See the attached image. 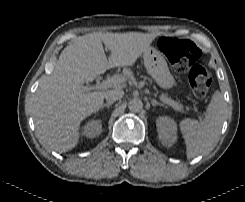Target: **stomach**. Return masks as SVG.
<instances>
[{"label":"stomach","mask_w":245,"mask_h":202,"mask_svg":"<svg viewBox=\"0 0 245 202\" xmlns=\"http://www.w3.org/2000/svg\"><path fill=\"white\" fill-rule=\"evenodd\" d=\"M144 65L148 74L162 89H170L175 85V80L169 71L163 54L153 46H150L144 53Z\"/></svg>","instance_id":"0dacf381"}]
</instances>
